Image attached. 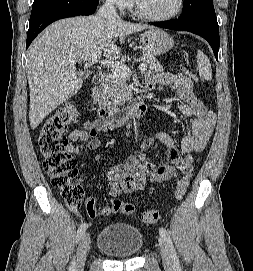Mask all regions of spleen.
Segmentation results:
<instances>
[{
	"label": "spleen",
	"mask_w": 253,
	"mask_h": 271,
	"mask_svg": "<svg viewBox=\"0 0 253 271\" xmlns=\"http://www.w3.org/2000/svg\"><path fill=\"white\" fill-rule=\"evenodd\" d=\"M196 58L199 75L205 80H211L212 69L208 57L201 50H198Z\"/></svg>",
	"instance_id": "1"
}]
</instances>
